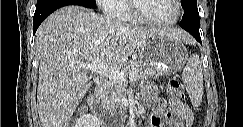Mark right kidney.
I'll return each mask as SVG.
<instances>
[{
	"label": "right kidney",
	"instance_id": "1",
	"mask_svg": "<svg viewBox=\"0 0 243 127\" xmlns=\"http://www.w3.org/2000/svg\"><path fill=\"white\" fill-rule=\"evenodd\" d=\"M100 120L97 116L93 114H83L81 115L75 123V127H99Z\"/></svg>",
	"mask_w": 243,
	"mask_h": 127
}]
</instances>
